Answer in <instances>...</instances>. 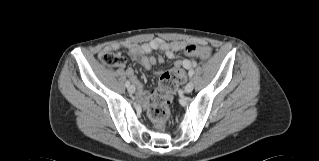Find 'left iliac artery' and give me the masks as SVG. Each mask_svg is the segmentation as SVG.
I'll return each mask as SVG.
<instances>
[{"mask_svg": "<svg viewBox=\"0 0 319 161\" xmlns=\"http://www.w3.org/2000/svg\"><path fill=\"white\" fill-rule=\"evenodd\" d=\"M188 75L192 77L194 75V70L193 69L189 70Z\"/></svg>", "mask_w": 319, "mask_h": 161, "instance_id": "44dca946", "label": "left iliac artery"}]
</instances>
